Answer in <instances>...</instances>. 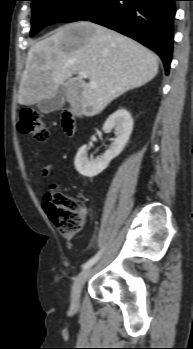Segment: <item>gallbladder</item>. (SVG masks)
I'll return each instance as SVG.
<instances>
[{"label":"gallbladder","instance_id":"bac80fb5","mask_svg":"<svg viewBox=\"0 0 193 349\" xmlns=\"http://www.w3.org/2000/svg\"><path fill=\"white\" fill-rule=\"evenodd\" d=\"M65 102V91L64 87L61 86L57 95L50 99H42L38 104L37 108L44 114L60 110Z\"/></svg>","mask_w":193,"mask_h":349}]
</instances>
